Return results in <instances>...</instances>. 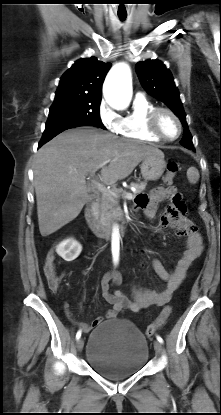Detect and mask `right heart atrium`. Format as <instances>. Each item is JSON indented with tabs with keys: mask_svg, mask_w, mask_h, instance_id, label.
Returning <instances> with one entry per match:
<instances>
[{
	"mask_svg": "<svg viewBox=\"0 0 221 415\" xmlns=\"http://www.w3.org/2000/svg\"><path fill=\"white\" fill-rule=\"evenodd\" d=\"M98 117L106 130L118 133L121 117L105 101H102L99 105Z\"/></svg>",
	"mask_w": 221,
	"mask_h": 415,
	"instance_id": "obj_1",
	"label": "right heart atrium"
}]
</instances>
